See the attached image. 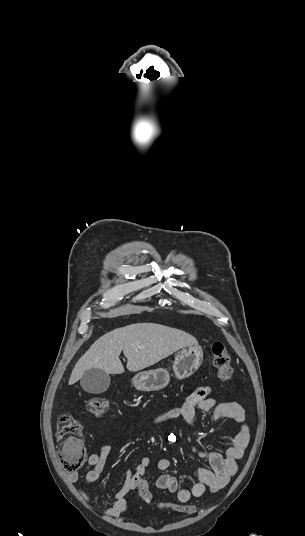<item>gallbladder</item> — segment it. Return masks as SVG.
<instances>
[{
  "label": "gallbladder",
  "instance_id": "1",
  "mask_svg": "<svg viewBox=\"0 0 305 536\" xmlns=\"http://www.w3.org/2000/svg\"><path fill=\"white\" fill-rule=\"evenodd\" d=\"M110 376L105 374L104 370H98V368H91V370H85L80 384L89 394H103L110 386Z\"/></svg>",
  "mask_w": 305,
  "mask_h": 536
}]
</instances>
